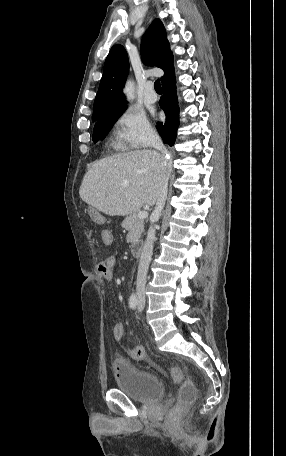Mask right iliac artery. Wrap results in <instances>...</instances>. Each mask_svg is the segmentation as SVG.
<instances>
[{
    "label": "right iliac artery",
    "mask_w": 286,
    "mask_h": 456,
    "mask_svg": "<svg viewBox=\"0 0 286 456\" xmlns=\"http://www.w3.org/2000/svg\"><path fill=\"white\" fill-rule=\"evenodd\" d=\"M138 300L136 294H132L129 299V306L132 309H135L137 307Z\"/></svg>",
    "instance_id": "1"
}]
</instances>
